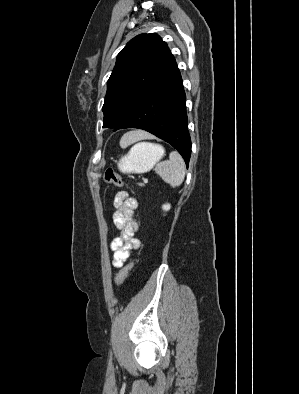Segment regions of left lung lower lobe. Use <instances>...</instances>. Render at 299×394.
Returning <instances> with one entry per match:
<instances>
[{"label":"left lung lower lobe","mask_w":299,"mask_h":394,"mask_svg":"<svg viewBox=\"0 0 299 394\" xmlns=\"http://www.w3.org/2000/svg\"><path fill=\"white\" fill-rule=\"evenodd\" d=\"M187 121L183 82L174 62L143 92L114 131L124 128L146 130L176 148L188 166L191 139Z\"/></svg>","instance_id":"left-lung-lower-lobe-1"}]
</instances>
